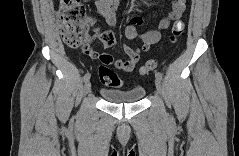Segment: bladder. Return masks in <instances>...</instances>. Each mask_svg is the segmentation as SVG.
I'll return each instance as SVG.
<instances>
[{
    "mask_svg": "<svg viewBox=\"0 0 239 156\" xmlns=\"http://www.w3.org/2000/svg\"><path fill=\"white\" fill-rule=\"evenodd\" d=\"M146 90L143 87H134L128 90L102 89L101 95L110 103L124 104L139 102L145 96Z\"/></svg>",
    "mask_w": 239,
    "mask_h": 156,
    "instance_id": "1",
    "label": "bladder"
}]
</instances>
